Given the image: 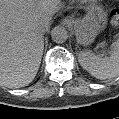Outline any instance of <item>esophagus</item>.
<instances>
[{
	"mask_svg": "<svg viewBox=\"0 0 119 119\" xmlns=\"http://www.w3.org/2000/svg\"><path fill=\"white\" fill-rule=\"evenodd\" d=\"M61 24L66 26V27H70L72 25V19L71 17H65L61 20Z\"/></svg>",
	"mask_w": 119,
	"mask_h": 119,
	"instance_id": "34e87169",
	"label": "esophagus"
}]
</instances>
